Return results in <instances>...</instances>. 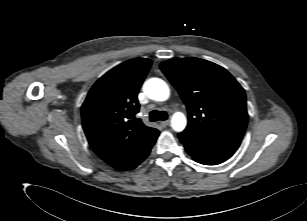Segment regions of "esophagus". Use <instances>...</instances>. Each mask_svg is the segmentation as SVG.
<instances>
[{"instance_id":"1","label":"esophagus","mask_w":307,"mask_h":221,"mask_svg":"<svg viewBox=\"0 0 307 221\" xmlns=\"http://www.w3.org/2000/svg\"><path fill=\"white\" fill-rule=\"evenodd\" d=\"M169 123H170V121H169V120H166V121H161V122H160V125H161L163 128H165L166 126H168V125H169Z\"/></svg>"}]
</instances>
